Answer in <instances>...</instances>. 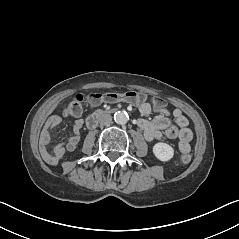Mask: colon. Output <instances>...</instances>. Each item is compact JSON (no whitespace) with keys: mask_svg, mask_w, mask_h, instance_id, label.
I'll use <instances>...</instances> for the list:
<instances>
[{"mask_svg":"<svg viewBox=\"0 0 239 239\" xmlns=\"http://www.w3.org/2000/svg\"><path fill=\"white\" fill-rule=\"evenodd\" d=\"M148 99V96L141 92L128 91L124 93L118 92H105V93H94L88 98L90 104H98L102 102H120L127 101L132 103H143ZM153 105L156 107H163L164 102L159 98H153ZM85 99L82 95L78 94L74 96L67 104L64 114L69 117H78L82 114L83 103ZM182 163H188L191 161V155L186 153L180 157Z\"/></svg>","mask_w":239,"mask_h":239,"instance_id":"colon-1","label":"colon"}]
</instances>
